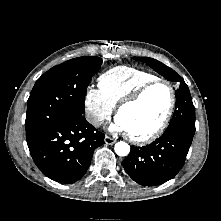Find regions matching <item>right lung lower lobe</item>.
Wrapping results in <instances>:
<instances>
[{
    "label": "right lung lower lobe",
    "instance_id": "right-lung-lower-lobe-1",
    "mask_svg": "<svg viewBox=\"0 0 221 221\" xmlns=\"http://www.w3.org/2000/svg\"><path fill=\"white\" fill-rule=\"evenodd\" d=\"M104 137L81 116L51 125L27 144L44 175L61 183H74L86 173L93 152L104 144Z\"/></svg>",
    "mask_w": 221,
    "mask_h": 221
}]
</instances>
